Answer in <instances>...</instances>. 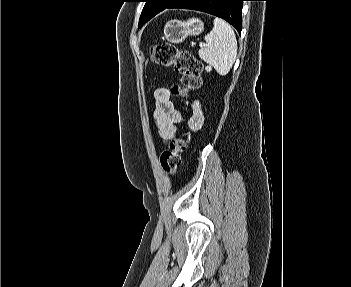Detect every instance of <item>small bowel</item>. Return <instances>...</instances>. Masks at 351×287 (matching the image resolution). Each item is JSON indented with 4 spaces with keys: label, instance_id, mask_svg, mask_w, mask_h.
<instances>
[{
    "label": "small bowel",
    "instance_id": "c3829d8e",
    "mask_svg": "<svg viewBox=\"0 0 351 287\" xmlns=\"http://www.w3.org/2000/svg\"><path fill=\"white\" fill-rule=\"evenodd\" d=\"M156 109L154 111V122L161 138L169 142L174 138L177 124L183 120L181 113L172 105L169 98V91L166 88H159L154 93ZM204 120L203 112L199 103H193L188 124L191 129L196 130L202 126Z\"/></svg>",
    "mask_w": 351,
    "mask_h": 287
}]
</instances>
